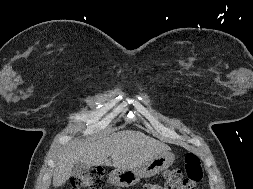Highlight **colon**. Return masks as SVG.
Masks as SVG:
<instances>
[{"label": "colon", "mask_w": 253, "mask_h": 189, "mask_svg": "<svg viewBox=\"0 0 253 189\" xmlns=\"http://www.w3.org/2000/svg\"><path fill=\"white\" fill-rule=\"evenodd\" d=\"M104 171L94 167L72 180L73 189H105ZM204 174L199 157L194 153L185 156L184 170L173 168L166 173V189H197Z\"/></svg>", "instance_id": "1"}]
</instances>
